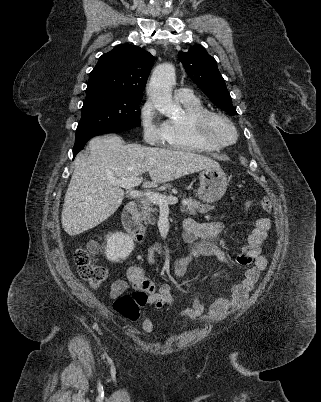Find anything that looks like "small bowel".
<instances>
[{
	"instance_id": "small-bowel-1",
	"label": "small bowel",
	"mask_w": 321,
	"mask_h": 402,
	"mask_svg": "<svg viewBox=\"0 0 321 402\" xmlns=\"http://www.w3.org/2000/svg\"><path fill=\"white\" fill-rule=\"evenodd\" d=\"M271 229V221L268 218L256 219L253 228L246 237V244L237 255L236 261L240 265H250L244 274L242 281L232 283L227 294L215 300L205 313L204 305L200 298L193 299L187 308L175 310V312L188 320L204 319L218 321L240 309L246 302L248 294L253 290L261 273L267 267V260L262 253L265 239ZM223 230L221 222L200 223L192 219H186L181 234L182 240L193 245L190 252L178 258L173 265L177 277L182 278L193 258L212 255L222 262L229 264V258L218 241V236ZM163 253L160 245L151 248L147 253L149 263H154L156 254ZM135 286L149 294L147 304L156 308L169 306L173 308L171 286L162 284L156 288L155 283L148 278L138 265L129 267L126 279H117L111 287V297L120 296L129 286ZM141 327L146 333H152L154 325L151 317L144 312L141 318Z\"/></svg>"
}]
</instances>
